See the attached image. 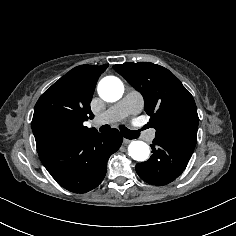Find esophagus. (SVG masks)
<instances>
[{"label":"esophagus","mask_w":236,"mask_h":236,"mask_svg":"<svg viewBox=\"0 0 236 236\" xmlns=\"http://www.w3.org/2000/svg\"><path fill=\"white\" fill-rule=\"evenodd\" d=\"M130 141H131V140L126 139V138H124V140H123V142H124L125 144H128Z\"/></svg>","instance_id":"34e87169"}]
</instances>
